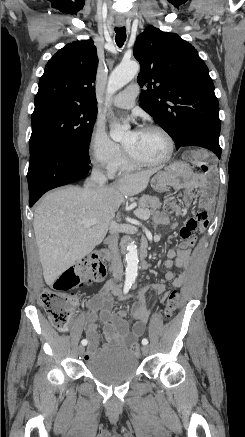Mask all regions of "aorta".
I'll return each instance as SVG.
<instances>
[{
	"label": "aorta",
	"instance_id": "1",
	"mask_svg": "<svg viewBox=\"0 0 245 437\" xmlns=\"http://www.w3.org/2000/svg\"><path fill=\"white\" fill-rule=\"evenodd\" d=\"M139 71L138 63L131 61L122 63L116 67L109 76L107 84V96L111 97L115 92L129 83ZM127 127L116 125L110 131V136L114 141H120L125 134ZM125 256L127 282H134L138 273V250L134 242L127 244Z\"/></svg>",
	"mask_w": 245,
	"mask_h": 437
}]
</instances>
